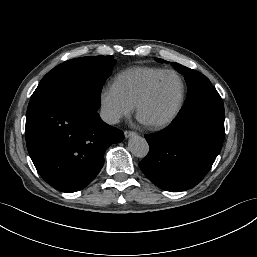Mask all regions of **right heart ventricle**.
<instances>
[{
  "mask_svg": "<svg viewBox=\"0 0 257 257\" xmlns=\"http://www.w3.org/2000/svg\"><path fill=\"white\" fill-rule=\"evenodd\" d=\"M164 69L148 66L133 67L118 74L113 86L132 105H135L149 81Z\"/></svg>",
  "mask_w": 257,
  "mask_h": 257,
  "instance_id": "right-heart-ventricle-1",
  "label": "right heart ventricle"
}]
</instances>
